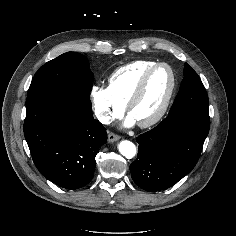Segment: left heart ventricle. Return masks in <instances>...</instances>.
Instances as JSON below:
<instances>
[{"label":"left heart ventricle","instance_id":"left-heart-ventricle-1","mask_svg":"<svg viewBox=\"0 0 236 236\" xmlns=\"http://www.w3.org/2000/svg\"><path fill=\"white\" fill-rule=\"evenodd\" d=\"M171 84L170 73L167 68H158L150 76L146 88L133 106L130 116L136 122L151 119L161 108Z\"/></svg>","mask_w":236,"mask_h":236}]
</instances>
